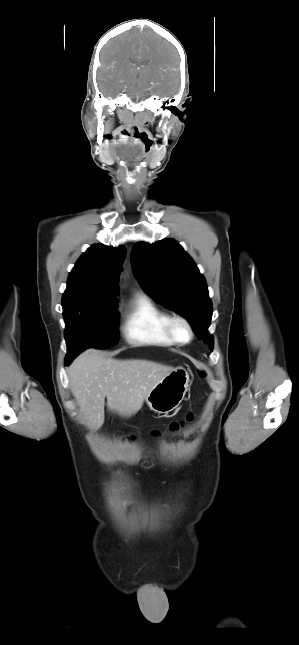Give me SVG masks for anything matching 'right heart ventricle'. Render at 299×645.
<instances>
[{
	"instance_id": "right-heart-ventricle-1",
	"label": "right heart ventricle",
	"mask_w": 299,
	"mask_h": 645,
	"mask_svg": "<svg viewBox=\"0 0 299 645\" xmlns=\"http://www.w3.org/2000/svg\"><path fill=\"white\" fill-rule=\"evenodd\" d=\"M168 313L151 297L136 294L125 311L122 332L133 345L169 347L174 345L164 330Z\"/></svg>"
}]
</instances>
